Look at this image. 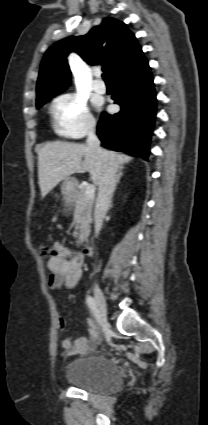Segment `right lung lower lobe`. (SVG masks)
I'll return each mask as SVG.
<instances>
[{
	"label": "right lung lower lobe",
	"mask_w": 208,
	"mask_h": 425,
	"mask_svg": "<svg viewBox=\"0 0 208 425\" xmlns=\"http://www.w3.org/2000/svg\"><path fill=\"white\" fill-rule=\"evenodd\" d=\"M112 99L121 106L110 116L103 112L97 134L102 146L129 155L147 158L156 113L153 77L145 57L112 79Z\"/></svg>",
	"instance_id": "98d812e1"
}]
</instances>
